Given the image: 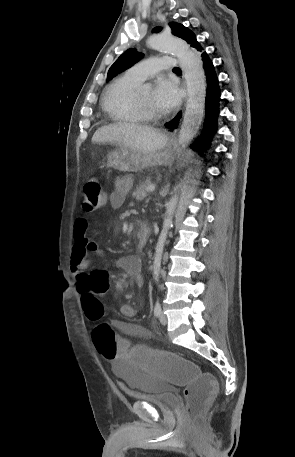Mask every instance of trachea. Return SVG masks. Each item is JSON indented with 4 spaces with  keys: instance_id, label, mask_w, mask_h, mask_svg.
Returning a JSON list of instances; mask_svg holds the SVG:
<instances>
[{
    "instance_id": "3493384b",
    "label": "trachea",
    "mask_w": 295,
    "mask_h": 457,
    "mask_svg": "<svg viewBox=\"0 0 295 457\" xmlns=\"http://www.w3.org/2000/svg\"><path fill=\"white\" fill-rule=\"evenodd\" d=\"M174 70H179V68H178V67H175Z\"/></svg>"
}]
</instances>
